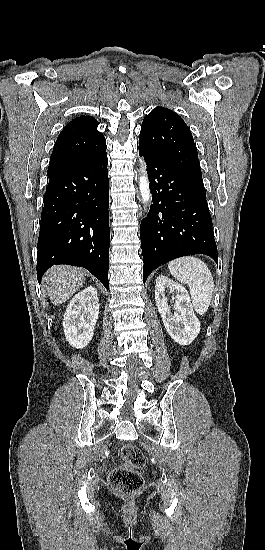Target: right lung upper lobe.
Returning a JSON list of instances; mask_svg holds the SVG:
<instances>
[{
    "label": "right lung upper lobe",
    "mask_w": 265,
    "mask_h": 550,
    "mask_svg": "<svg viewBox=\"0 0 265 550\" xmlns=\"http://www.w3.org/2000/svg\"><path fill=\"white\" fill-rule=\"evenodd\" d=\"M99 122L91 116H80L70 121L60 132L48 171L61 165L88 160L106 152L104 135L97 130Z\"/></svg>",
    "instance_id": "obj_1"
}]
</instances>
